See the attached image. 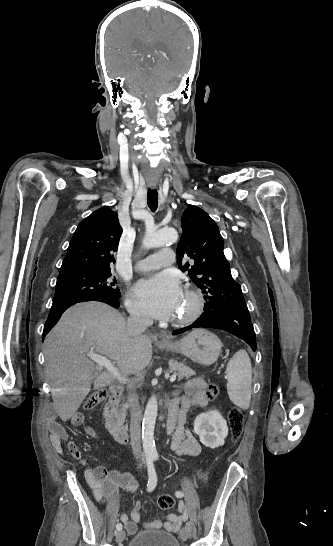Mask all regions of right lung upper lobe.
Returning <instances> with one entry per match:
<instances>
[{
    "mask_svg": "<svg viewBox=\"0 0 333 546\" xmlns=\"http://www.w3.org/2000/svg\"><path fill=\"white\" fill-rule=\"evenodd\" d=\"M121 233L116 212L108 207L94 211L80 222L74 232L59 276L110 271L115 263L113 252L117 251Z\"/></svg>",
    "mask_w": 333,
    "mask_h": 546,
    "instance_id": "obj_1",
    "label": "right lung upper lobe"
}]
</instances>
